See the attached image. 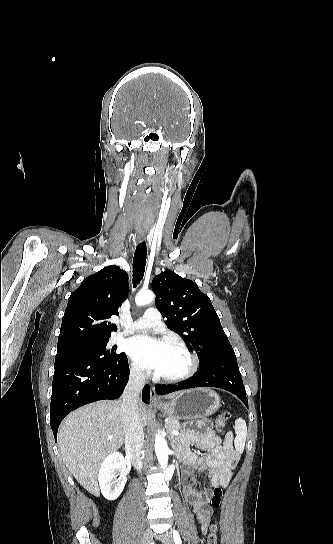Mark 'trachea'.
Instances as JSON below:
<instances>
[{
  "instance_id": "trachea-1",
  "label": "trachea",
  "mask_w": 333,
  "mask_h": 544,
  "mask_svg": "<svg viewBox=\"0 0 333 544\" xmlns=\"http://www.w3.org/2000/svg\"><path fill=\"white\" fill-rule=\"evenodd\" d=\"M147 247L146 242L139 243L136 247L133 258V287L135 288L142 280L146 266Z\"/></svg>"
}]
</instances>
